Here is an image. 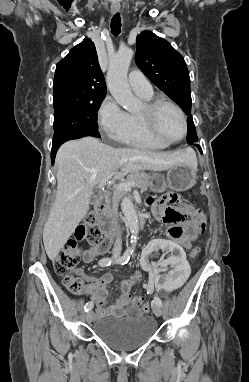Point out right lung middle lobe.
Instances as JSON below:
<instances>
[{
  "label": "right lung middle lobe",
  "instance_id": "1",
  "mask_svg": "<svg viewBox=\"0 0 249 382\" xmlns=\"http://www.w3.org/2000/svg\"><path fill=\"white\" fill-rule=\"evenodd\" d=\"M104 98L54 106L53 143L80 134L100 136L97 129V110Z\"/></svg>",
  "mask_w": 249,
  "mask_h": 382
}]
</instances>
